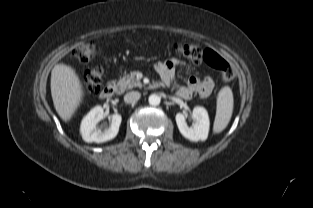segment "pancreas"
<instances>
[{"instance_id":"1","label":"pancreas","mask_w":313,"mask_h":208,"mask_svg":"<svg viewBox=\"0 0 313 208\" xmlns=\"http://www.w3.org/2000/svg\"><path fill=\"white\" fill-rule=\"evenodd\" d=\"M141 86V82L135 77V72H131L130 75H125L117 83L118 93L120 94L125 92L126 89H132L133 87Z\"/></svg>"}]
</instances>
